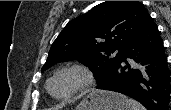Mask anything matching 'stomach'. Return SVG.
<instances>
[{"label": "stomach", "mask_w": 171, "mask_h": 110, "mask_svg": "<svg viewBox=\"0 0 171 110\" xmlns=\"http://www.w3.org/2000/svg\"><path fill=\"white\" fill-rule=\"evenodd\" d=\"M75 110H126V97L117 93L93 90Z\"/></svg>", "instance_id": "stomach-1"}]
</instances>
